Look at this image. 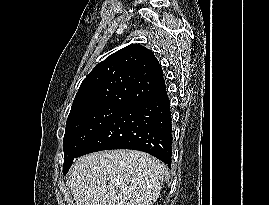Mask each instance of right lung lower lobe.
Listing matches in <instances>:
<instances>
[{
	"instance_id": "98d812e1",
	"label": "right lung lower lobe",
	"mask_w": 269,
	"mask_h": 205,
	"mask_svg": "<svg viewBox=\"0 0 269 205\" xmlns=\"http://www.w3.org/2000/svg\"><path fill=\"white\" fill-rule=\"evenodd\" d=\"M171 122L170 100L165 90L128 106L114 116L77 157L101 150L134 149L155 156L170 168Z\"/></svg>"
}]
</instances>
